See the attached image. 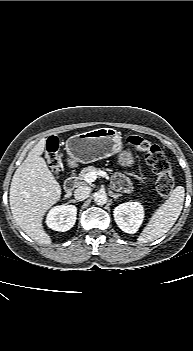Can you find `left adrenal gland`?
<instances>
[{
	"instance_id": "left-adrenal-gland-1",
	"label": "left adrenal gland",
	"mask_w": 193,
	"mask_h": 351,
	"mask_svg": "<svg viewBox=\"0 0 193 351\" xmlns=\"http://www.w3.org/2000/svg\"><path fill=\"white\" fill-rule=\"evenodd\" d=\"M110 193H111V197H113L114 200H116L118 197L122 196L121 194H116L113 192H110Z\"/></svg>"
}]
</instances>
